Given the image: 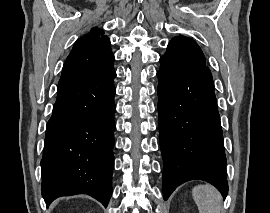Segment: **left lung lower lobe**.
I'll return each mask as SVG.
<instances>
[{
	"label": "left lung lower lobe",
	"instance_id": "1",
	"mask_svg": "<svg viewBox=\"0 0 270 213\" xmlns=\"http://www.w3.org/2000/svg\"><path fill=\"white\" fill-rule=\"evenodd\" d=\"M163 198L180 184L204 180L228 194L226 157L212 76L157 72Z\"/></svg>",
	"mask_w": 270,
	"mask_h": 213
}]
</instances>
